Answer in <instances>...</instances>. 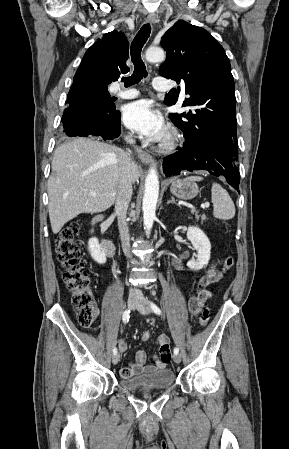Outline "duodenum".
Instances as JSON below:
<instances>
[{"mask_svg":"<svg viewBox=\"0 0 289 449\" xmlns=\"http://www.w3.org/2000/svg\"><path fill=\"white\" fill-rule=\"evenodd\" d=\"M103 215H97L93 221H92V225L95 229H98V226L100 224V222L103 220ZM100 244L103 248V250L108 254V255H112L114 253L115 250V246L113 244L112 241H110L107 238L104 237H100Z\"/></svg>","mask_w":289,"mask_h":449,"instance_id":"obj_1","label":"duodenum"}]
</instances>
